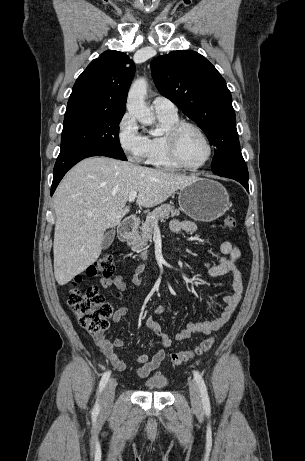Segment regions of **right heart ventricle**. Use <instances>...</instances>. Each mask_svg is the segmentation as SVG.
Wrapping results in <instances>:
<instances>
[{
    "instance_id": "e07e8e85",
    "label": "right heart ventricle",
    "mask_w": 305,
    "mask_h": 461,
    "mask_svg": "<svg viewBox=\"0 0 305 461\" xmlns=\"http://www.w3.org/2000/svg\"><path fill=\"white\" fill-rule=\"evenodd\" d=\"M158 127L144 136L142 160L145 164L166 170L179 167L171 160L166 148V135L171 126L179 122L177 114L157 113Z\"/></svg>"
}]
</instances>
